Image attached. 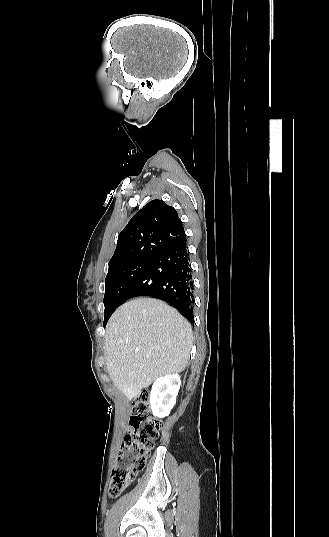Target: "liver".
I'll use <instances>...</instances> for the list:
<instances>
[{
    "label": "liver",
    "instance_id": "liver-1",
    "mask_svg": "<svg viewBox=\"0 0 329 537\" xmlns=\"http://www.w3.org/2000/svg\"><path fill=\"white\" fill-rule=\"evenodd\" d=\"M192 329L163 301L137 298L121 305L106 327L104 356L114 385L129 400L158 377L185 369Z\"/></svg>",
    "mask_w": 329,
    "mask_h": 537
}]
</instances>
